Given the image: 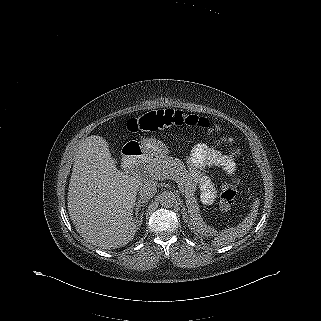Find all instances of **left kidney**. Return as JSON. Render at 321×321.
<instances>
[{
  "mask_svg": "<svg viewBox=\"0 0 321 321\" xmlns=\"http://www.w3.org/2000/svg\"><path fill=\"white\" fill-rule=\"evenodd\" d=\"M194 221V223L193 224H195V226H200L199 228H201L202 227V225L204 226V224L203 223H201V221H197V219H193ZM203 231L202 232H204V229L205 228H201ZM210 231V229H207V230H205V232H209Z\"/></svg>",
  "mask_w": 321,
  "mask_h": 321,
  "instance_id": "obj_1",
  "label": "left kidney"
}]
</instances>
